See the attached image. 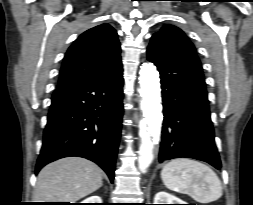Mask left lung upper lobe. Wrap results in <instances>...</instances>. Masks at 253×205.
<instances>
[{"mask_svg":"<svg viewBox=\"0 0 253 205\" xmlns=\"http://www.w3.org/2000/svg\"><path fill=\"white\" fill-rule=\"evenodd\" d=\"M153 36L164 37L196 53L194 45L190 42L184 32L173 25H165L159 32L155 33Z\"/></svg>","mask_w":253,"mask_h":205,"instance_id":"5c2ea615","label":"left lung upper lobe"}]
</instances>
